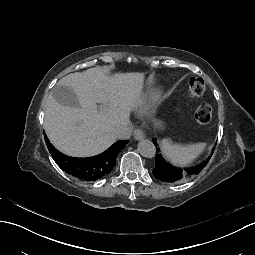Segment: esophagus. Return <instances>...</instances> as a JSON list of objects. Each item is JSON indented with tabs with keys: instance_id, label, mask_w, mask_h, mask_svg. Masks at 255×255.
I'll return each mask as SVG.
<instances>
[{
	"instance_id": "1",
	"label": "esophagus",
	"mask_w": 255,
	"mask_h": 255,
	"mask_svg": "<svg viewBox=\"0 0 255 255\" xmlns=\"http://www.w3.org/2000/svg\"><path fill=\"white\" fill-rule=\"evenodd\" d=\"M133 135L136 140H141V139L145 138L146 127L143 126L142 129H135Z\"/></svg>"
}]
</instances>
